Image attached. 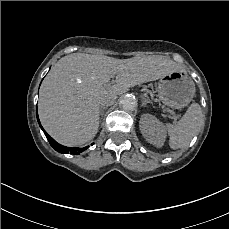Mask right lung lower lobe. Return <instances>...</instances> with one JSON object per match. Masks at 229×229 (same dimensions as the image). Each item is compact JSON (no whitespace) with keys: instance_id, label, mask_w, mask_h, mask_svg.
I'll use <instances>...</instances> for the list:
<instances>
[{"instance_id":"1","label":"right lung lower lobe","mask_w":229,"mask_h":229,"mask_svg":"<svg viewBox=\"0 0 229 229\" xmlns=\"http://www.w3.org/2000/svg\"><path fill=\"white\" fill-rule=\"evenodd\" d=\"M37 120H38V123L41 127V129L43 130V132L45 133L50 145L58 152L60 153H70V154H74V155H79L81 152L85 151L89 146L87 147H84V148H70V147H66V146H63L59 143H57L44 129L43 127L41 126L40 124V121H39V117H38V114H37Z\"/></svg>"}]
</instances>
